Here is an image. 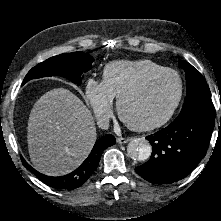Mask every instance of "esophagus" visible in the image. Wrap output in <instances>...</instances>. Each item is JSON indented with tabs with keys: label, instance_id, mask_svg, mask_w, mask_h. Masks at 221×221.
Instances as JSON below:
<instances>
[{
	"label": "esophagus",
	"instance_id": "1",
	"mask_svg": "<svg viewBox=\"0 0 221 221\" xmlns=\"http://www.w3.org/2000/svg\"><path fill=\"white\" fill-rule=\"evenodd\" d=\"M129 140H130V138H122V137H118L116 139L117 143H119V144L127 143Z\"/></svg>",
	"mask_w": 221,
	"mask_h": 221
}]
</instances>
